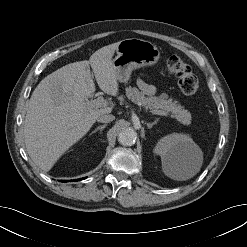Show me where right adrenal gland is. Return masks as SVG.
<instances>
[{"label": "right adrenal gland", "instance_id": "right-adrenal-gland-1", "mask_svg": "<svg viewBox=\"0 0 247 247\" xmlns=\"http://www.w3.org/2000/svg\"><path fill=\"white\" fill-rule=\"evenodd\" d=\"M106 126H107L106 124L101 125V126H98L97 128H95V129L91 132V134L97 132L98 130H100V133H102V130H103ZM91 134H90V135H91Z\"/></svg>", "mask_w": 247, "mask_h": 247}]
</instances>
